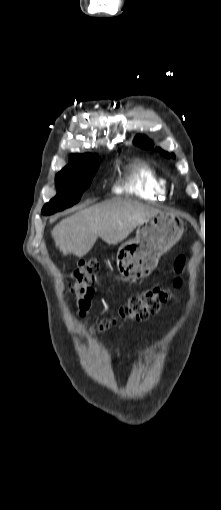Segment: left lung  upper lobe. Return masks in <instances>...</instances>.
<instances>
[{
  "label": "left lung upper lobe",
  "instance_id": "5c2ea615",
  "mask_svg": "<svg viewBox=\"0 0 221 510\" xmlns=\"http://www.w3.org/2000/svg\"><path fill=\"white\" fill-rule=\"evenodd\" d=\"M134 143L137 145V146H140L141 148H144V149H151L153 148V143L152 141H150L147 137L145 136H137ZM162 153L164 154L165 157H170L169 153L167 152H163ZM172 157L174 158V154H172Z\"/></svg>",
  "mask_w": 221,
  "mask_h": 510
}]
</instances>
